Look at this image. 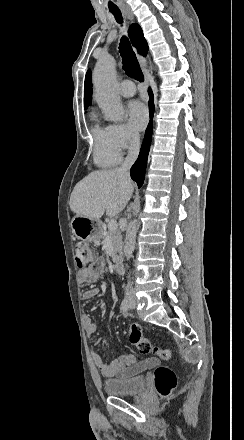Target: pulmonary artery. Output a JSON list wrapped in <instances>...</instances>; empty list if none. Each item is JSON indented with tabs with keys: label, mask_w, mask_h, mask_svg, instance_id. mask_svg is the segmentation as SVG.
<instances>
[{
	"label": "pulmonary artery",
	"mask_w": 244,
	"mask_h": 440,
	"mask_svg": "<svg viewBox=\"0 0 244 440\" xmlns=\"http://www.w3.org/2000/svg\"><path fill=\"white\" fill-rule=\"evenodd\" d=\"M122 89L123 90L120 91V94L124 97L129 98V97H132L135 95L136 91H135L133 83H131V82L123 83Z\"/></svg>",
	"instance_id": "pulmonary-artery-1"
}]
</instances>
